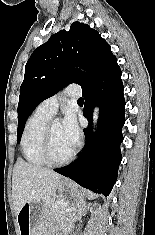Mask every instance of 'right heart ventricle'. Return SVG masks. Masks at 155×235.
<instances>
[{
    "label": "right heart ventricle",
    "mask_w": 155,
    "mask_h": 235,
    "mask_svg": "<svg viewBox=\"0 0 155 235\" xmlns=\"http://www.w3.org/2000/svg\"><path fill=\"white\" fill-rule=\"evenodd\" d=\"M51 115L38 108L27 119L21 137V152L26 162L33 166L47 164L41 153L43 131Z\"/></svg>",
    "instance_id": "1"
}]
</instances>
